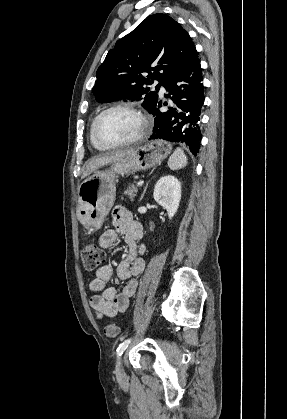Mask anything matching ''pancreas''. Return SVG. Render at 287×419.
<instances>
[{
	"mask_svg": "<svg viewBox=\"0 0 287 419\" xmlns=\"http://www.w3.org/2000/svg\"><path fill=\"white\" fill-rule=\"evenodd\" d=\"M137 188L135 185H130L125 191H124V195L128 196L130 199L134 198L136 196L137 193Z\"/></svg>",
	"mask_w": 287,
	"mask_h": 419,
	"instance_id": "obj_1",
	"label": "pancreas"
}]
</instances>
